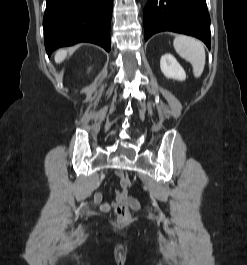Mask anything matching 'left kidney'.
<instances>
[{
    "label": "left kidney",
    "instance_id": "1",
    "mask_svg": "<svg viewBox=\"0 0 247 265\" xmlns=\"http://www.w3.org/2000/svg\"><path fill=\"white\" fill-rule=\"evenodd\" d=\"M160 68L162 73L170 79L183 81L186 73L173 55L167 53L161 57Z\"/></svg>",
    "mask_w": 247,
    "mask_h": 265
}]
</instances>
